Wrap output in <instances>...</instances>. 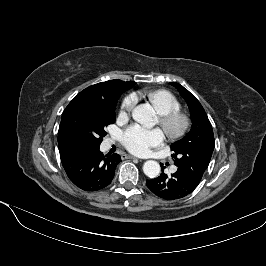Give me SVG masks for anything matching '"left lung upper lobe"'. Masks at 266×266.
Instances as JSON below:
<instances>
[{"mask_svg":"<svg viewBox=\"0 0 266 266\" xmlns=\"http://www.w3.org/2000/svg\"><path fill=\"white\" fill-rule=\"evenodd\" d=\"M170 84L176 87L185 99L192 120L190 132L171 145L174 164L193 180L200 182L214 150L212 125L200 102L187 89L179 83Z\"/></svg>","mask_w":266,"mask_h":266,"instance_id":"left-lung-upper-lobe-1","label":"left lung upper lobe"}]
</instances>
